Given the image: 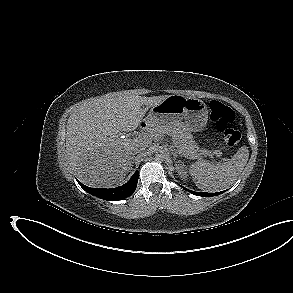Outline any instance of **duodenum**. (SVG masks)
<instances>
[{"mask_svg":"<svg viewBox=\"0 0 293 293\" xmlns=\"http://www.w3.org/2000/svg\"><path fill=\"white\" fill-rule=\"evenodd\" d=\"M148 127H149V123H148L147 121H143V122H141V124H140V129H141L142 131H146V130L148 129Z\"/></svg>","mask_w":293,"mask_h":293,"instance_id":"duodenum-1","label":"duodenum"}]
</instances>
